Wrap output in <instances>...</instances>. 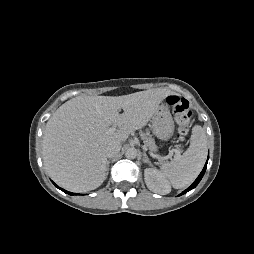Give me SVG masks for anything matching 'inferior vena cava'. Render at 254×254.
I'll return each mask as SVG.
<instances>
[{"mask_svg":"<svg viewBox=\"0 0 254 254\" xmlns=\"http://www.w3.org/2000/svg\"><path fill=\"white\" fill-rule=\"evenodd\" d=\"M121 149V144L118 141L111 142L107 145L105 149V155L108 158L113 157L116 155Z\"/></svg>","mask_w":254,"mask_h":254,"instance_id":"602c4592","label":"inferior vena cava"}]
</instances>
